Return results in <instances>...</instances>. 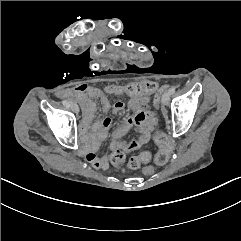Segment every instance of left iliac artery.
Here are the masks:
<instances>
[{
    "instance_id": "1",
    "label": "left iliac artery",
    "mask_w": 241,
    "mask_h": 241,
    "mask_svg": "<svg viewBox=\"0 0 241 241\" xmlns=\"http://www.w3.org/2000/svg\"><path fill=\"white\" fill-rule=\"evenodd\" d=\"M174 92H175V88L174 87L170 88L169 91H168L169 94H173Z\"/></svg>"
}]
</instances>
